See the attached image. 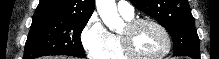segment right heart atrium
Masks as SVG:
<instances>
[{
	"instance_id": "obj_1",
	"label": "right heart atrium",
	"mask_w": 219,
	"mask_h": 59,
	"mask_svg": "<svg viewBox=\"0 0 219 59\" xmlns=\"http://www.w3.org/2000/svg\"><path fill=\"white\" fill-rule=\"evenodd\" d=\"M113 34L98 15H92L81 32V43L90 59H105L112 45Z\"/></svg>"
}]
</instances>
